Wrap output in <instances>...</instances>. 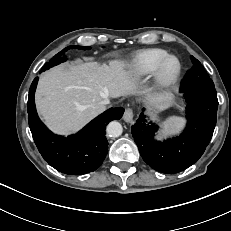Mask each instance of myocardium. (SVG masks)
Instances as JSON below:
<instances>
[{"label":"myocardium","instance_id":"1","mask_svg":"<svg viewBox=\"0 0 231 231\" xmlns=\"http://www.w3.org/2000/svg\"><path fill=\"white\" fill-rule=\"evenodd\" d=\"M174 59L177 62V69L169 77L164 75V68L166 64ZM182 62L176 56L172 54H168L165 56L157 65L154 72L152 73V91L155 95L163 94L169 90H171L178 82L182 74Z\"/></svg>","mask_w":231,"mask_h":231}]
</instances>
